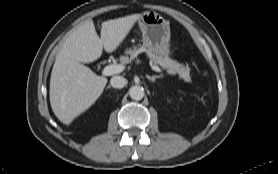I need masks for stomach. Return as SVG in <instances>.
Listing matches in <instances>:
<instances>
[{
	"instance_id": "stomach-1",
	"label": "stomach",
	"mask_w": 278,
	"mask_h": 174,
	"mask_svg": "<svg viewBox=\"0 0 278 174\" xmlns=\"http://www.w3.org/2000/svg\"><path fill=\"white\" fill-rule=\"evenodd\" d=\"M138 20L142 32V40L146 48L170 56L173 51L170 48V24L156 12H144Z\"/></svg>"
}]
</instances>
